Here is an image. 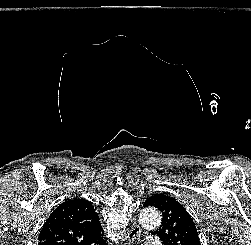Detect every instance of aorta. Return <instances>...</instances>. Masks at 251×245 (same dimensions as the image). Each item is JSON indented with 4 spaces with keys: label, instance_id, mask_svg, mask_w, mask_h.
<instances>
[{
    "label": "aorta",
    "instance_id": "1",
    "mask_svg": "<svg viewBox=\"0 0 251 245\" xmlns=\"http://www.w3.org/2000/svg\"><path fill=\"white\" fill-rule=\"evenodd\" d=\"M140 222L145 227L156 228L161 223V217L158 210L147 208L140 213Z\"/></svg>",
    "mask_w": 251,
    "mask_h": 245
}]
</instances>
